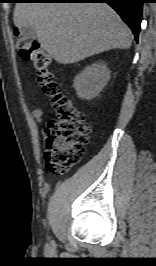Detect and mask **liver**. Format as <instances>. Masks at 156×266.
I'll list each match as a JSON object with an SVG mask.
<instances>
[{
    "label": "liver",
    "instance_id": "obj_1",
    "mask_svg": "<svg viewBox=\"0 0 156 266\" xmlns=\"http://www.w3.org/2000/svg\"><path fill=\"white\" fill-rule=\"evenodd\" d=\"M17 28L33 27L40 45L62 64L110 49H129L131 31L105 3H17Z\"/></svg>",
    "mask_w": 156,
    "mask_h": 266
}]
</instances>
